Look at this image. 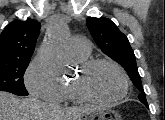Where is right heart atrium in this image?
I'll return each instance as SVG.
<instances>
[{
  "label": "right heart atrium",
  "instance_id": "1",
  "mask_svg": "<svg viewBox=\"0 0 165 120\" xmlns=\"http://www.w3.org/2000/svg\"><path fill=\"white\" fill-rule=\"evenodd\" d=\"M25 85L33 96L52 102L62 98V85L50 74L39 56L29 64L25 73Z\"/></svg>",
  "mask_w": 165,
  "mask_h": 120
}]
</instances>
